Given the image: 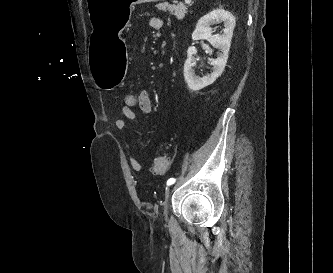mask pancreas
Here are the masks:
<instances>
[{
    "mask_svg": "<svg viewBox=\"0 0 333 273\" xmlns=\"http://www.w3.org/2000/svg\"><path fill=\"white\" fill-rule=\"evenodd\" d=\"M157 8L162 11H168L170 14H174L178 20H182L187 13V6L184 5L182 2H174V4L159 3L157 4Z\"/></svg>",
    "mask_w": 333,
    "mask_h": 273,
    "instance_id": "1",
    "label": "pancreas"
}]
</instances>
